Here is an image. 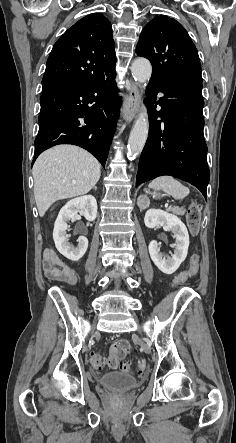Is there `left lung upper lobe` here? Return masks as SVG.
<instances>
[{
	"mask_svg": "<svg viewBox=\"0 0 236 443\" xmlns=\"http://www.w3.org/2000/svg\"><path fill=\"white\" fill-rule=\"evenodd\" d=\"M152 64L151 80L202 82L198 51L184 27L165 15L156 16L142 30L136 46Z\"/></svg>",
	"mask_w": 236,
	"mask_h": 443,
	"instance_id": "1",
	"label": "left lung upper lobe"
}]
</instances>
